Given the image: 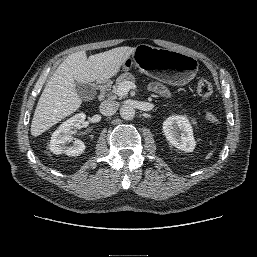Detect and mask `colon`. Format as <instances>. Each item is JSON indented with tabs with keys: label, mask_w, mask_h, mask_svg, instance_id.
<instances>
[{
	"label": "colon",
	"mask_w": 257,
	"mask_h": 257,
	"mask_svg": "<svg viewBox=\"0 0 257 257\" xmlns=\"http://www.w3.org/2000/svg\"><path fill=\"white\" fill-rule=\"evenodd\" d=\"M196 91L200 98L206 100L211 97L213 93V87L209 81L200 80L197 84ZM206 119L213 124L218 122V117L212 112H208L206 114Z\"/></svg>",
	"instance_id": "1"
}]
</instances>
